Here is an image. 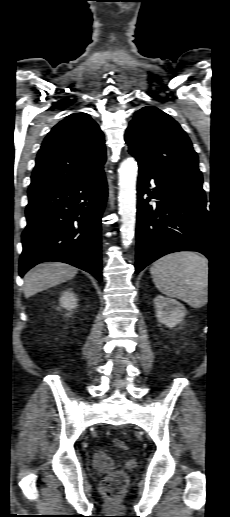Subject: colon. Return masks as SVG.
Instances as JSON below:
<instances>
[{
	"label": "colon",
	"instance_id": "5ec220e1",
	"mask_svg": "<svg viewBox=\"0 0 230 517\" xmlns=\"http://www.w3.org/2000/svg\"><path fill=\"white\" fill-rule=\"evenodd\" d=\"M113 445L116 449L126 450L127 444L122 439H114ZM127 483V476L122 471H116L108 475L102 484V490L104 496L109 500H118L121 496L124 487Z\"/></svg>",
	"mask_w": 230,
	"mask_h": 517
}]
</instances>
